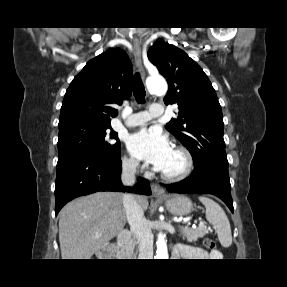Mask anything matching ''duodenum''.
Listing matches in <instances>:
<instances>
[{
  "instance_id": "duodenum-1",
  "label": "duodenum",
  "mask_w": 287,
  "mask_h": 287,
  "mask_svg": "<svg viewBox=\"0 0 287 287\" xmlns=\"http://www.w3.org/2000/svg\"><path fill=\"white\" fill-rule=\"evenodd\" d=\"M131 234L127 230H123L117 238L115 252L122 259H132L133 253L130 246Z\"/></svg>"
}]
</instances>
